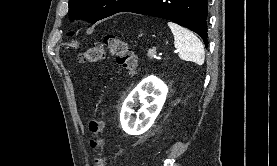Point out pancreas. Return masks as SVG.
I'll use <instances>...</instances> for the list:
<instances>
[{"label":"pancreas","instance_id":"pancreas-1","mask_svg":"<svg viewBox=\"0 0 277 166\" xmlns=\"http://www.w3.org/2000/svg\"><path fill=\"white\" fill-rule=\"evenodd\" d=\"M151 53H155V51H154V50H149V51H148V57H150ZM150 58H151V57H150Z\"/></svg>","mask_w":277,"mask_h":166}]
</instances>
